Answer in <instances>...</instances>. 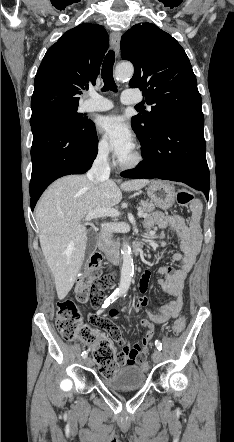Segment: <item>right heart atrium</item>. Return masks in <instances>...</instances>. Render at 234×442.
<instances>
[{
	"label": "right heart atrium",
	"instance_id": "d8ad5b80",
	"mask_svg": "<svg viewBox=\"0 0 234 442\" xmlns=\"http://www.w3.org/2000/svg\"><path fill=\"white\" fill-rule=\"evenodd\" d=\"M111 147L110 144L104 140L99 139L96 143V156L101 161H108L110 158Z\"/></svg>",
	"mask_w": 234,
	"mask_h": 442
}]
</instances>
